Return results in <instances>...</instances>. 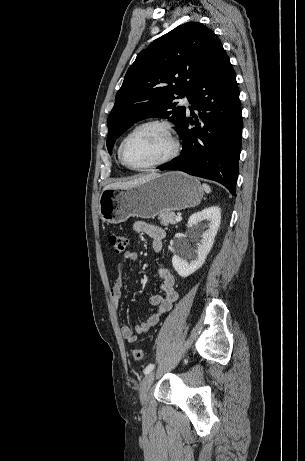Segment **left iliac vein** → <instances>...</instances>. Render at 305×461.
I'll return each instance as SVG.
<instances>
[{"instance_id":"4c4485c4","label":"left iliac vein","mask_w":305,"mask_h":461,"mask_svg":"<svg viewBox=\"0 0 305 461\" xmlns=\"http://www.w3.org/2000/svg\"><path fill=\"white\" fill-rule=\"evenodd\" d=\"M154 376V372H150L143 378L140 383L139 398L143 404L147 401L148 392L153 383Z\"/></svg>"}]
</instances>
